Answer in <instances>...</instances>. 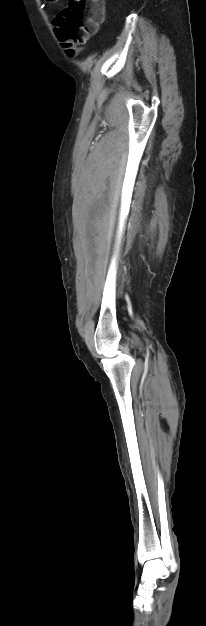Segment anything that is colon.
<instances>
[{
  "mask_svg": "<svg viewBox=\"0 0 206 626\" xmlns=\"http://www.w3.org/2000/svg\"><path fill=\"white\" fill-rule=\"evenodd\" d=\"M103 19V0H69L53 22L59 41L72 55L98 30Z\"/></svg>",
  "mask_w": 206,
  "mask_h": 626,
  "instance_id": "colon-1",
  "label": "colon"
}]
</instances>
